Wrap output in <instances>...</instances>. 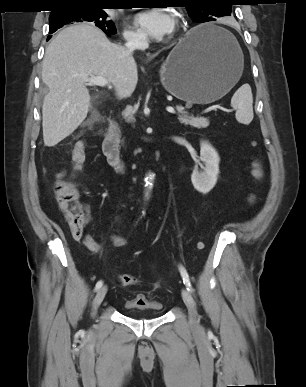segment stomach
Segmentation results:
<instances>
[{
	"label": "stomach",
	"mask_w": 306,
	"mask_h": 387,
	"mask_svg": "<svg viewBox=\"0 0 306 387\" xmlns=\"http://www.w3.org/2000/svg\"><path fill=\"white\" fill-rule=\"evenodd\" d=\"M244 57L236 39L214 24L190 30L160 69L164 88L191 104H209L239 81Z\"/></svg>",
	"instance_id": "0dacf381"
}]
</instances>
